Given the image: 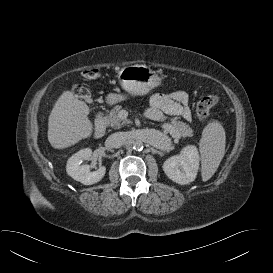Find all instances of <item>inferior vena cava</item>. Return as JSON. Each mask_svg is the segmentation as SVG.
Returning a JSON list of instances; mask_svg holds the SVG:
<instances>
[{
	"label": "inferior vena cava",
	"mask_w": 273,
	"mask_h": 273,
	"mask_svg": "<svg viewBox=\"0 0 273 273\" xmlns=\"http://www.w3.org/2000/svg\"><path fill=\"white\" fill-rule=\"evenodd\" d=\"M126 141L127 134L125 132H116L108 137V143L114 148L121 147Z\"/></svg>",
	"instance_id": "obj_1"
}]
</instances>
